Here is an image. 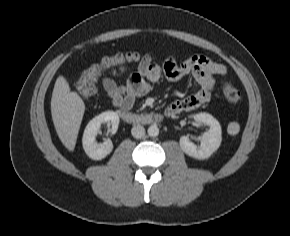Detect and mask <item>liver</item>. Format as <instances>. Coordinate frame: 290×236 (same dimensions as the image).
<instances>
[{
    "mask_svg": "<svg viewBox=\"0 0 290 236\" xmlns=\"http://www.w3.org/2000/svg\"><path fill=\"white\" fill-rule=\"evenodd\" d=\"M84 112L82 98L70 91L69 83L60 75L52 93L51 115L57 135L69 151L75 148Z\"/></svg>",
    "mask_w": 290,
    "mask_h": 236,
    "instance_id": "liver-1",
    "label": "liver"
}]
</instances>
